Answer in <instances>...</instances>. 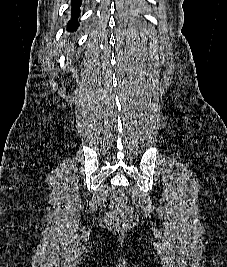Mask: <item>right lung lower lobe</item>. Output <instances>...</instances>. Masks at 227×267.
<instances>
[{"instance_id":"1","label":"right lung lower lobe","mask_w":227,"mask_h":267,"mask_svg":"<svg viewBox=\"0 0 227 267\" xmlns=\"http://www.w3.org/2000/svg\"><path fill=\"white\" fill-rule=\"evenodd\" d=\"M80 5H81V0H72V11H71L72 19L68 22V27H67V30L70 32H73L78 28L77 18L80 14V9H79Z\"/></svg>"}]
</instances>
